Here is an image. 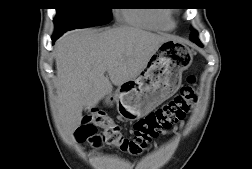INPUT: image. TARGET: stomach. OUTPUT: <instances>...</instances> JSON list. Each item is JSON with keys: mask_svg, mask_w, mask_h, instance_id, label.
Masks as SVG:
<instances>
[{"mask_svg": "<svg viewBox=\"0 0 252 169\" xmlns=\"http://www.w3.org/2000/svg\"><path fill=\"white\" fill-rule=\"evenodd\" d=\"M193 54L185 44L169 39L159 45L145 68L133 79L118 86L107 104H116L121 118L138 120L174 95L182 82V73L192 63Z\"/></svg>", "mask_w": 252, "mask_h": 169, "instance_id": "stomach-1", "label": "stomach"}]
</instances>
